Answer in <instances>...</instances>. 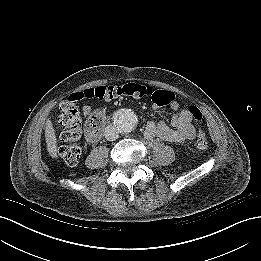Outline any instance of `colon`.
Instances as JSON below:
<instances>
[{"mask_svg": "<svg viewBox=\"0 0 261 261\" xmlns=\"http://www.w3.org/2000/svg\"><path fill=\"white\" fill-rule=\"evenodd\" d=\"M123 96L142 98L151 96L153 102L159 107L167 106L174 99V94L164 90H154L150 86L137 83H126L123 85L98 86L82 92L73 94L60 105L59 122L63 126L61 140L64 144L59 148V155L69 165H76L81 156V148L76 144L82 136V120L78 110V102L84 98H96L98 100H113ZM189 110L196 123L202 119L201 112L195 106ZM104 117L102 112L95 111L86 123V133L91 142L96 141L100 136ZM196 147L205 150L208 141L205 133L199 128L196 138Z\"/></svg>", "mask_w": 261, "mask_h": 261, "instance_id": "obj_1", "label": "colon"}]
</instances>
